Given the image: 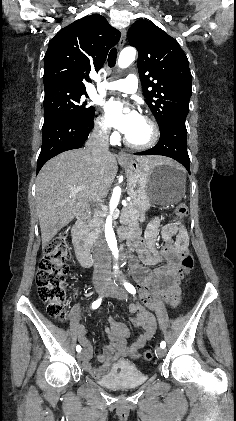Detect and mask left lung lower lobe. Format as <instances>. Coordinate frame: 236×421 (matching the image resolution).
Masks as SVG:
<instances>
[{"mask_svg":"<svg viewBox=\"0 0 236 421\" xmlns=\"http://www.w3.org/2000/svg\"><path fill=\"white\" fill-rule=\"evenodd\" d=\"M186 115L176 114L170 117L160 127V139L155 147L135 153V155H163L175 159L181 163L190 173V159L187 152L185 126Z\"/></svg>","mask_w":236,"mask_h":421,"instance_id":"left-lung-lower-lobe-1","label":"left lung lower lobe"}]
</instances>
